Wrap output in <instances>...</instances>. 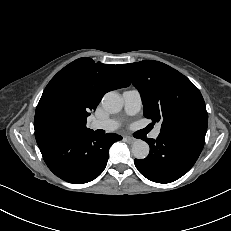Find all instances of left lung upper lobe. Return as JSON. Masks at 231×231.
Masks as SVG:
<instances>
[{
  "label": "left lung upper lobe",
  "instance_id": "5c2ea615",
  "mask_svg": "<svg viewBox=\"0 0 231 231\" xmlns=\"http://www.w3.org/2000/svg\"><path fill=\"white\" fill-rule=\"evenodd\" d=\"M119 69L139 90L144 116L162 123L161 133L190 130L206 134L204 99L186 76L154 60L121 64Z\"/></svg>",
  "mask_w": 231,
  "mask_h": 231
}]
</instances>
